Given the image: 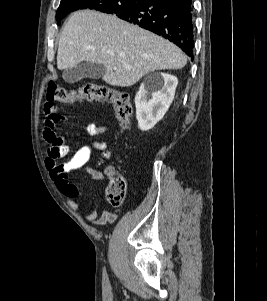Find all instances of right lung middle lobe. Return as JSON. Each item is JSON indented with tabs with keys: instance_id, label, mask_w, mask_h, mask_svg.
I'll return each instance as SVG.
<instances>
[{
	"instance_id": "obj_1",
	"label": "right lung middle lobe",
	"mask_w": 267,
	"mask_h": 301,
	"mask_svg": "<svg viewBox=\"0 0 267 301\" xmlns=\"http://www.w3.org/2000/svg\"><path fill=\"white\" fill-rule=\"evenodd\" d=\"M141 0H62L57 10L58 25L69 12L78 9H95L104 13L118 14L133 8Z\"/></svg>"
}]
</instances>
